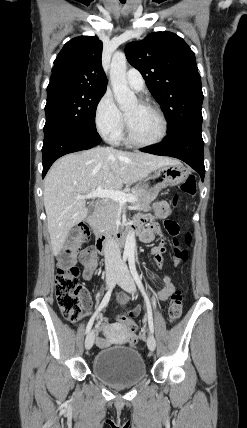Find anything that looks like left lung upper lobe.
I'll list each match as a JSON object with an SVG mask.
<instances>
[{
    "mask_svg": "<svg viewBox=\"0 0 247 428\" xmlns=\"http://www.w3.org/2000/svg\"><path fill=\"white\" fill-rule=\"evenodd\" d=\"M126 57L165 113L169 134L202 124L201 77L194 52L182 38L171 32H154L129 43Z\"/></svg>",
    "mask_w": 247,
    "mask_h": 428,
    "instance_id": "left-lung-upper-lobe-1",
    "label": "left lung upper lobe"
}]
</instances>
